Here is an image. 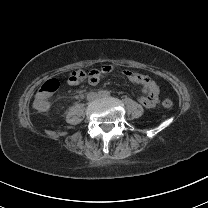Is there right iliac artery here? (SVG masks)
<instances>
[{"label": "right iliac artery", "mask_w": 208, "mask_h": 208, "mask_svg": "<svg viewBox=\"0 0 208 208\" xmlns=\"http://www.w3.org/2000/svg\"><path fill=\"white\" fill-rule=\"evenodd\" d=\"M99 95H100V96H104V95H105V92H104V91H100V92H99Z\"/></svg>", "instance_id": "obj_1"}]
</instances>
